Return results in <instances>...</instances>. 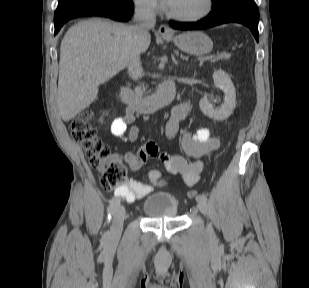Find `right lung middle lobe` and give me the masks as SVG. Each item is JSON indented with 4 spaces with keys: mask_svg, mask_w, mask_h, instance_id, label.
<instances>
[{
    "mask_svg": "<svg viewBox=\"0 0 309 288\" xmlns=\"http://www.w3.org/2000/svg\"><path fill=\"white\" fill-rule=\"evenodd\" d=\"M84 1L86 0H59L57 10L55 11V15H58Z\"/></svg>",
    "mask_w": 309,
    "mask_h": 288,
    "instance_id": "1",
    "label": "right lung middle lobe"
}]
</instances>
